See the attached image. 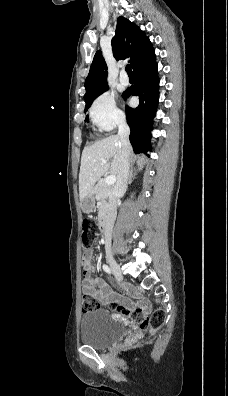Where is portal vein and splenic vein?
Returning <instances> with one entry per match:
<instances>
[{"label": "portal vein and splenic vein", "mask_w": 228, "mask_h": 396, "mask_svg": "<svg viewBox=\"0 0 228 396\" xmlns=\"http://www.w3.org/2000/svg\"><path fill=\"white\" fill-rule=\"evenodd\" d=\"M107 160H102V163L105 164ZM116 182V177L114 175H110L105 179V183L107 185H113Z\"/></svg>", "instance_id": "18ae733b"}]
</instances>
